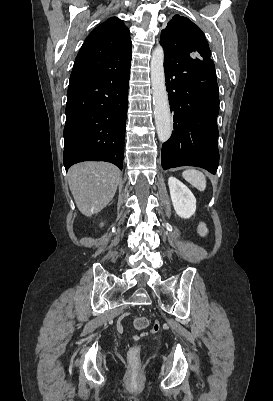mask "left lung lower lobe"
<instances>
[{"label":"left lung lower lobe","mask_w":273,"mask_h":401,"mask_svg":"<svg viewBox=\"0 0 273 401\" xmlns=\"http://www.w3.org/2000/svg\"><path fill=\"white\" fill-rule=\"evenodd\" d=\"M164 54L173 132L162 146V167L197 166L215 174L219 90L214 63L178 51L164 50Z\"/></svg>","instance_id":"1"}]
</instances>
